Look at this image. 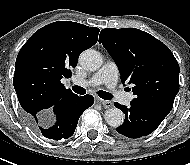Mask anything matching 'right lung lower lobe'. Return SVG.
<instances>
[{
	"mask_svg": "<svg viewBox=\"0 0 190 165\" xmlns=\"http://www.w3.org/2000/svg\"><path fill=\"white\" fill-rule=\"evenodd\" d=\"M93 103L92 95L65 97L37 117L25 114V120L39 135L53 140L67 139L74 134L79 117Z\"/></svg>",
	"mask_w": 190,
	"mask_h": 165,
	"instance_id": "right-lung-lower-lobe-1",
	"label": "right lung lower lobe"
}]
</instances>
